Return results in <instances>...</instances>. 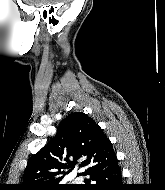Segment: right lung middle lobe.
<instances>
[{
    "instance_id": "1",
    "label": "right lung middle lobe",
    "mask_w": 165,
    "mask_h": 190,
    "mask_svg": "<svg viewBox=\"0 0 165 190\" xmlns=\"http://www.w3.org/2000/svg\"><path fill=\"white\" fill-rule=\"evenodd\" d=\"M55 190H75V187L72 185H69V186H63V187L57 188Z\"/></svg>"
}]
</instances>
